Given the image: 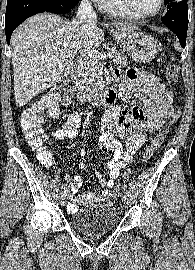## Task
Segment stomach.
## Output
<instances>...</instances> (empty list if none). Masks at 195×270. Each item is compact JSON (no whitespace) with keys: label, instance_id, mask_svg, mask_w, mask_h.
<instances>
[{"label":"stomach","instance_id":"1","mask_svg":"<svg viewBox=\"0 0 195 270\" xmlns=\"http://www.w3.org/2000/svg\"><path fill=\"white\" fill-rule=\"evenodd\" d=\"M124 51L135 61L146 63L155 58L159 51L157 41L139 30L111 31Z\"/></svg>","mask_w":195,"mask_h":270}]
</instances>
